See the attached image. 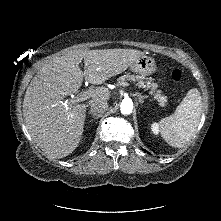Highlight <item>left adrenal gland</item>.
I'll list each match as a JSON object with an SVG mask.
<instances>
[{
	"instance_id": "obj_1",
	"label": "left adrenal gland",
	"mask_w": 221,
	"mask_h": 221,
	"mask_svg": "<svg viewBox=\"0 0 221 221\" xmlns=\"http://www.w3.org/2000/svg\"><path fill=\"white\" fill-rule=\"evenodd\" d=\"M136 95L138 96L139 102L142 104L144 102V99H147L148 96H143L140 93H136Z\"/></svg>"
}]
</instances>
